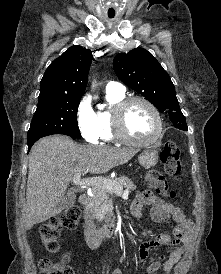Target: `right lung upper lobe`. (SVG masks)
<instances>
[{
    "mask_svg": "<svg viewBox=\"0 0 221 274\" xmlns=\"http://www.w3.org/2000/svg\"><path fill=\"white\" fill-rule=\"evenodd\" d=\"M92 59L89 49L79 45L70 47L47 68L39 99L82 97Z\"/></svg>",
    "mask_w": 221,
    "mask_h": 274,
    "instance_id": "cb5924a9",
    "label": "right lung upper lobe"
}]
</instances>
